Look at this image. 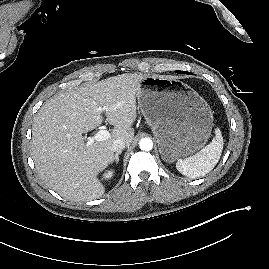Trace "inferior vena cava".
I'll list each match as a JSON object with an SVG mask.
<instances>
[{
	"instance_id": "602c4592",
	"label": "inferior vena cava",
	"mask_w": 269,
	"mask_h": 269,
	"mask_svg": "<svg viewBox=\"0 0 269 269\" xmlns=\"http://www.w3.org/2000/svg\"><path fill=\"white\" fill-rule=\"evenodd\" d=\"M125 148V142L123 140H114L111 145V150L113 152H119L122 151Z\"/></svg>"
}]
</instances>
